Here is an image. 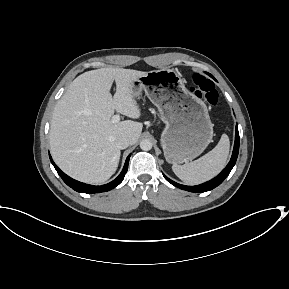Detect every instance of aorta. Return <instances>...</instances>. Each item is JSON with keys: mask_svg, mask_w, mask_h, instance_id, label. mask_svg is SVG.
I'll return each mask as SVG.
<instances>
[{"mask_svg": "<svg viewBox=\"0 0 289 289\" xmlns=\"http://www.w3.org/2000/svg\"><path fill=\"white\" fill-rule=\"evenodd\" d=\"M152 142L149 139H143L140 142V148L144 151H149L152 149Z\"/></svg>", "mask_w": 289, "mask_h": 289, "instance_id": "aorta-1", "label": "aorta"}]
</instances>
